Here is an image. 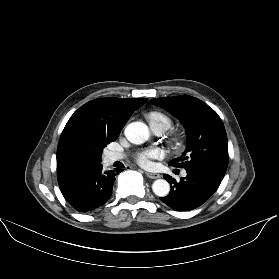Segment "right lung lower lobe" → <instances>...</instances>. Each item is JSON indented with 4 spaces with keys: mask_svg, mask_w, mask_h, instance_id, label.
I'll return each instance as SVG.
<instances>
[{
    "mask_svg": "<svg viewBox=\"0 0 279 279\" xmlns=\"http://www.w3.org/2000/svg\"><path fill=\"white\" fill-rule=\"evenodd\" d=\"M121 171L103 170L101 164L80 168L58 178L68 203L79 212L93 211L109 200L115 176Z\"/></svg>",
    "mask_w": 279,
    "mask_h": 279,
    "instance_id": "obj_1",
    "label": "right lung lower lobe"
}]
</instances>
